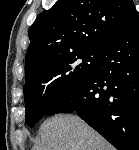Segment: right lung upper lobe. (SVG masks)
Segmentation results:
<instances>
[{
    "label": "right lung upper lobe",
    "mask_w": 139,
    "mask_h": 150,
    "mask_svg": "<svg viewBox=\"0 0 139 150\" xmlns=\"http://www.w3.org/2000/svg\"><path fill=\"white\" fill-rule=\"evenodd\" d=\"M135 11L132 0H58L29 29L26 76L55 57L100 51Z\"/></svg>",
    "instance_id": "1"
}]
</instances>
